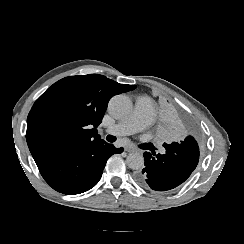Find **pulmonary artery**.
Instances as JSON below:
<instances>
[{"label":"pulmonary artery","instance_id":"1","mask_svg":"<svg viewBox=\"0 0 244 244\" xmlns=\"http://www.w3.org/2000/svg\"><path fill=\"white\" fill-rule=\"evenodd\" d=\"M135 112L123 122V125H113L110 127V134L121 136L126 134H135L142 128L151 124L154 117V108L148 100H140L135 105Z\"/></svg>","mask_w":244,"mask_h":244}]
</instances>
